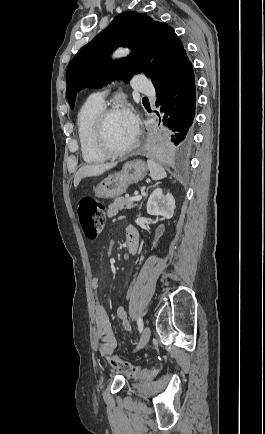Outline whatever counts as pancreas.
I'll use <instances>...</instances> for the list:
<instances>
[{
    "instance_id": "pancreas-1",
    "label": "pancreas",
    "mask_w": 265,
    "mask_h": 434,
    "mask_svg": "<svg viewBox=\"0 0 265 434\" xmlns=\"http://www.w3.org/2000/svg\"><path fill=\"white\" fill-rule=\"evenodd\" d=\"M134 206H137V204H134V202H129L127 198H116V200H114L113 204H110L107 210V218H113V216L118 214L119 210H131V208H134Z\"/></svg>"
}]
</instances>
